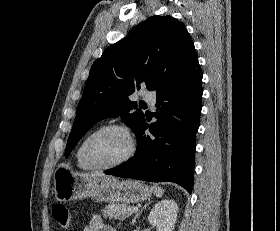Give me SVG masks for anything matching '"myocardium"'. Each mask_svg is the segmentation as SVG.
<instances>
[{
    "mask_svg": "<svg viewBox=\"0 0 280 231\" xmlns=\"http://www.w3.org/2000/svg\"><path fill=\"white\" fill-rule=\"evenodd\" d=\"M112 130L119 131L126 137L127 143H128L127 149H126L125 153L123 154V156L121 158H119L118 160H116L110 164L98 165L90 157V154H89L90 146L93 143V141L97 137H99L101 134L108 132V131H112ZM134 151H135V144H134L133 138L131 137L130 132L127 129V127L124 125H121V124H117V123H110V124L101 126L87 138V140L84 144V147H83L82 157H83V160L85 161V163L88 166H90L92 169L107 170L110 168H114V167L123 165L124 163L129 161L132 158Z\"/></svg>",
    "mask_w": 280,
    "mask_h": 231,
    "instance_id": "myocardium-1",
    "label": "myocardium"
}]
</instances>
